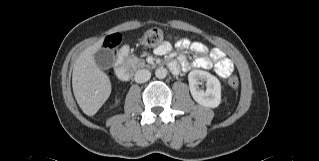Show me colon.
<instances>
[{
  "label": "colon",
  "mask_w": 319,
  "mask_h": 161,
  "mask_svg": "<svg viewBox=\"0 0 319 161\" xmlns=\"http://www.w3.org/2000/svg\"><path fill=\"white\" fill-rule=\"evenodd\" d=\"M163 39V31L160 28H151L147 30L141 39V42L146 47H153L161 43ZM121 41L119 34L114 35L108 42L110 46H117ZM229 85L232 89H237L239 85L238 78L233 75L229 79Z\"/></svg>",
  "instance_id": "colon-1"
}]
</instances>
